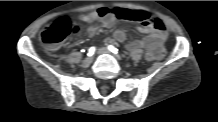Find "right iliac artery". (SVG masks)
Here are the masks:
<instances>
[{
    "mask_svg": "<svg viewBox=\"0 0 218 122\" xmlns=\"http://www.w3.org/2000/svg\"><path fill=\"white\" fill-rule=\"evenodd\" d=\"M96 48L95 47H90L88 50V56H92L95 53Z\"/></svg>",
    "mask_w": 218,
    "mask_h": 122,
    "instance_id": "1",
    "label": "right iliac artery"
}]
</instances>
